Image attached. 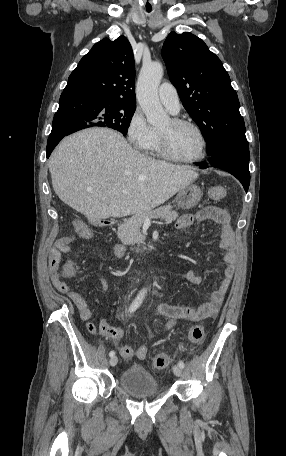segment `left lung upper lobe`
<instances>
[{
	"instance_id": "1",
	"label": "left lung upper lobe",
	"mask_w": 286,
	"mask_h": 456,
	"mask_svg": "<svg viewBox=\"0 0 286 456\" xmlns=\"http://www.w3.org/2000/svg\"><path fill=\"white\" fill-rule=\"evenodd\" d=\"M162 57L183 106L202 130L207 154L220 146L248 145L237 93L203 40L189 32H171Z\"/></svg>"
}]
</instances>
